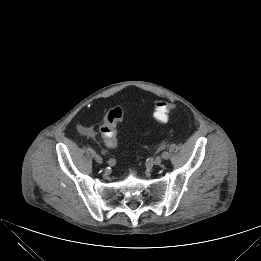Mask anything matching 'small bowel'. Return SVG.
<instances>
[{
	"instance_id": "obj_1",
	"label": "small bowel",
	"mask_w": 261,
	"mask_h": 261,
	"mask_svg": "<svg viewBox=\"0 0 261 261\" xmlns=\"http://www.w3.org/2000/svg\"><path fill=\"white\" fill-rule=\"evenodd\" d=\"M79 132L88 137V138H93L95 137V131L92 127H88V126H80L79 127Z\"/></svg>"
}]
</instances>
